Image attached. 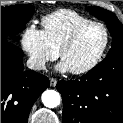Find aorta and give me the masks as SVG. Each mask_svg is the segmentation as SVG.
Returning <instances> with one entry per match:
<instances>
[{
  "label": "aorta",
  "mask_w": 123,
  "mask_h": 123,
  "mask_svg": "<svg viewBox=\"0 0 123 123\" xmlns=\"http://www.w3.org/2000/svg\"><path fill=\"white\" fill-rule=\"evenodd\" d=\"M61 96L54 90H46L42 94V102L48 108H55L60 104Z\"/></svg>",
  "instance_id": "762f6f07"
}]
</instances>
